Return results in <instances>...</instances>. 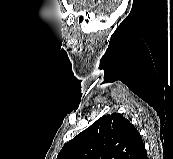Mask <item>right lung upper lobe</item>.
<instances>
[{"instance_id": "cb5924a9", "label": "right lung upper lobe", "mask_w": 173, "mask_h": 159, "mask_svg": "<svg viewBox=\"0 0 173 159\" xmlns=\"http://www.w3.org/2000/svg\"><path fill=\"white\" fill-rule=\"evenodd\" d=\"M144 152L137 129L121 114L112 113L66 143L57 159H138Z\"/></svg>"}]
</instances>
